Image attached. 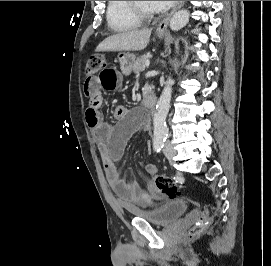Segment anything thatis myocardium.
<instances>
[{
  "instance_id": "f54148a6",
  "label": "myocardium",
  "mask_w": 271,
  "mask_h": 266,
  "mask_svg": "<svg viewBox=\"0 0 271 266\" xmlns=\"http://www.w3.org/2000/svg\"><path fill=\"white\" fill-rule=\"evenodd\" d=\"M129 8L131 12L139 18L141 21H148L154 17V13L151 11H146L142 8H139L136 5V1H129Z\"/></svg>"
}]
</instances>
